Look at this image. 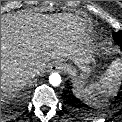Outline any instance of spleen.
<instances>
[{"instance_id":"spleen-1","label":"spleen","mask_w":122,"mask_h":122,"mask_svg":"<svg viewBox=\"0 0 122 122\" xmlns=\"http://www.w3.org/2000/svg\"><path fill=\"white\" fill-rule=\"evenodd\" d=\"M122 61L117 59L112 62L107 73L98 82L87 85L86 83H75L74 95L87 105L101 108L111 96H115L121 84Z\"/></svg>"}]
</instances>
